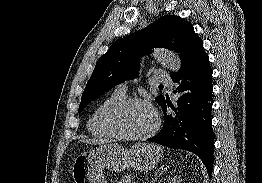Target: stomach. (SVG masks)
Segmentation results:
<instances>
[{"label":"stomach","mask_w":262,"mask_h":183,"mask_svg":"<svg viewBox=\"0 0 262 183\" xmlns=\"http://www.w3.org/2000/svg\"><path fill=\"white\" fill-rule=\"evenodd\" d=\"M162 157V148L155 144L136 143L127 149L118 143H103L76 157L72 177L74 183H107L103 174L105 168L115 172L129 167L150 171Z\"/></svg>","instance_id":"1"}]
</instances>
